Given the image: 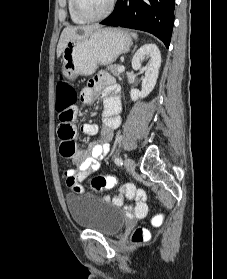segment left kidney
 <instances>
[{
    "instance_id": "left-kidney-1",
    "label": "left kidney",
    "mask_w": 227,
    "mask_h": 279,
    "mask_svg": "<svg viewBox=\"0 0 227 279\" xmlns=\"http://www.w3.org/2000/svg\"><path fill=\"white\" fill-rule=\"evenodd\" d=\"M145 59H149V64L144 68L145 76L142 79V89L141 91L138 89H131L130 96L132 101L148 96L157 82L161 65V54L155 44H145L136 51L132 58V68L134 70L141 69L142 61Z\"/></svg>"
}]
</instances>
